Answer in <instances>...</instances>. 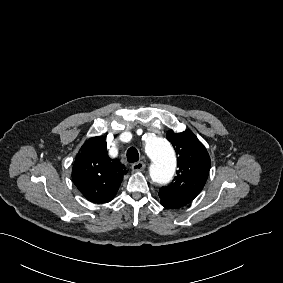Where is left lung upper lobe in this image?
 I'll return each instance as SVG.
<instances>
[{
	"label": "left lung upper lobe",
	"mask_w": 283,
	"mask_h": 283,
	"mask_svg": "<svg viewBox=\"0 0 283 283\" xmlns=\"http://www.w3.org/2000/svg\"><path fill=\"white\" fill-rule=\"evenodd\" d=\"M167 139L178 155L179 170L174 181L159 190V197L162 206L175 209L190 203L200 193L208 178L211 162L206 148L191 131H169Z\"/></svg>",
	"instance_id": "1"
}]
</instances>
